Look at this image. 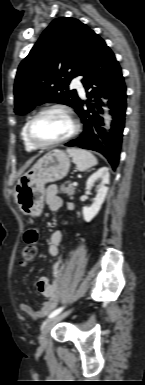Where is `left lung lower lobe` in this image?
<instances>
[{
    "label": "left lung lower lobe",
    "instance_id": "left-lung-lower-lobe-1",
    "mask_svg": "<svg viewBox=\"0 0 145 385\" xmlns=\"http://www.w3.org/2000/svg\"><path fill=\"white\" fill-rule=\"evenodd\" d=\"M79 75L84 76L82 83L89 90L87 97L91 104L88 109L83 108L81 100L76 112L82 119L84 131L80 138L65 144L66 146H80L102 153L115 169L119 162L122 133L124 129L126 111V86L122 71L113 52L102 38L94 34L89 54ZM101 93L109 99L113 122L111 133L103 137V118L100 101ZM105 135V133H104Z\"/></svg>",
    "mask_w": 145,
    "mask_h": 385
}]
</instances>
